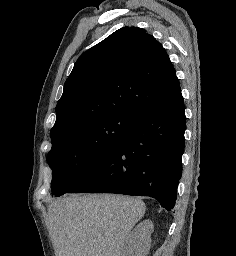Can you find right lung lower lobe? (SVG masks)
<instances>
[{"label": "right lung lower lobe", "instance_id": "obj_1", "mask_svg": "<svg viewBox=\"0 0 236 256\" xmlns=\"http://www.w3.org/2000/svg\"><path fill=\"white\" fill-rule=\"evenodd\" d=\"M186 126L181 91L141 116L123 140L66 193H117L175 205Z\"/></svg>", "mask_w": 236, "mask_h": 256}]
</instances>
